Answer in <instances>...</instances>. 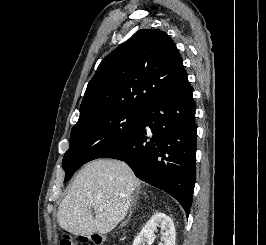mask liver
<instances>
[{"mask_svg":"<svg viewBox=\"0 0 266 245\" xmlns=\"http://www.w3.org/2000/svg\"><path fill=\"white\" fill-rule=\"evenodd\" d=\"M140 185L141 181L123 161H90L79 171L60 203L57 221L61 229L77 237L110 233L126 217L131 197Z\"/></svg>","mask_w":266,"mask_h":245,"instance_id":"obj_1","label":"liver"}]
</instances>
